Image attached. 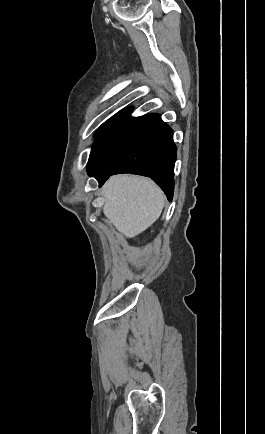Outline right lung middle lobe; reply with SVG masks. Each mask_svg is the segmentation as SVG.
<instances>
[{"instance_id": "obj_1", "label": "right lung middle lobe", "mask_w": 265, "mask_h": 434, "mask_svg": "<svg viewBox=\"0 0 265 434\" xmlns=\"http://www.w3.org/2000/svg\"><path fill=\"white\" fill-rule=\"evenodd\" d=\"M101 128H102V126H101L100 129L98 130L97 135H96V138H97L98 135L100 134Z\"/></svg>"}]
</instances>
